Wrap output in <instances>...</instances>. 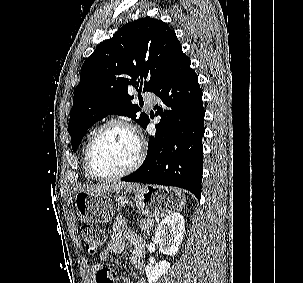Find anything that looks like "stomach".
Segmentation results:
<instances>
[{
	"label": "stomach",
	"mask_w": 303,
	"mask_h": 283,
	"mask_svg": "<svg viewBox=\"0 0 303 283\" xmlns=\"http://www.w3.org/2000/svg\"><path fill=\"white\" fill-rule=\"evenodd\" d=\"M132 190L139 212L149 218L166 216L185 205L186 198L181 190L149 185L121 191L114 196L116 207L129 204L128 192ZM74 202L77 215L85 223L102 224L114 216V201L110 194L90 195L78 192Z\"/></svg>",
	"instance_id": "stomach-1"
}]
</instances>
